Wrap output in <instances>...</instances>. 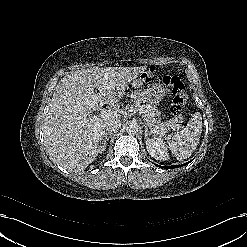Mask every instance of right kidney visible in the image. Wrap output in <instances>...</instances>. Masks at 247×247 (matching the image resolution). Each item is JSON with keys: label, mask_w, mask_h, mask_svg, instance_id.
<instances>
[{"label": "right kidney", "mask_w": 247, "mask_h": 247, "mask_svg": "<svg viewBox=\"0 0 247 247\" xmlns=\"http://www.w3.org/2000/svg\"><path fill=\"white\" fill-rule=\"evenodd\" d=\"M105 149H106V146H105V143H104L103 145H101V146L98 147L97 153H102V152L105 151Z\"/></svg>", "instance_id": "ca27d5eb"}]
</instances>
